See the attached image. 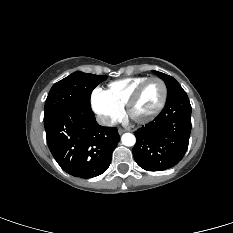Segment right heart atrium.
Listing matches in <instances>:
<instances>
[{"instance_id":"right-heart-atrium-1","label":"right heart atrium","mask_w":233,"mask_h":233,"mask_svg":"<svg viewBox=\"0 0 233 233\" xmlns=\"http://www.w3.org/2000/svg\"><path fill=\"white\" fill-rule=\"evenodd\" d=\"M91 106L99 121L105 126H112L123 115V108L112 102L102 89L92 92Z\"/></svg>"}]
</instances>
